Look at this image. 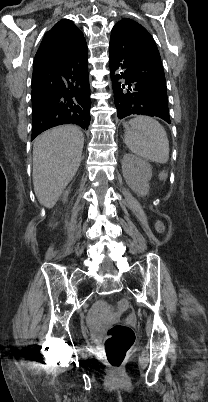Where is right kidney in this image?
<instances>
[{
    "mask_svg": "<svg viewBox=\"0 0 208 402\" xmlns=\"http://www.w3.org/2000/svg\"><path fill=\"white\" fill-rule=\"evenodd\" d=\"M66 196H68V192H65V194L63 196V200H66Z\"/></svg>",
    "mask_w": 208,
    "mask_h": 402,
    "instance_id": "obj_1",
    "label": "right kidney"
}]
</instances>
